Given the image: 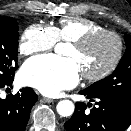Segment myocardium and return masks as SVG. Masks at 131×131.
Segmentation results:
<instances>
[{"instance_id":"f54148a6","label":"myocardium","mask_w":131,"mask_h":131,"mask_svg":"<svg viewBox=\"0 0 131 131\" xmlns=\"http://www.w3.org/2000/svg\"><path fill=\"white\" fill-rule=\"evenodd\" d=\"M101 36L111 37L115 41L116 43L115 54H114L113 59L109 63V65L101 72L96 73V74L82 73V77L88 81L96 82V81L103 80L104 78L108 77L116 69L123 54V40L120 37V35L114 31L107 30V29H100L96 31H91L70 42V45L82 48L88 45L94 39Z\"/></svg>"}]
</instances>
